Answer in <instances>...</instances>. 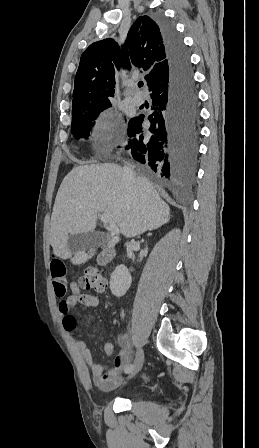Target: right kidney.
Listing matches in <instances>:
<instances>
[{
    "label": "right kidney",
    "mask_w": 259,
    "mask_h": 448,
    "mask_svg": "<svg viewBox=\"0 0 259 448\" xmlns=\"http://www.w3.org/2000/svg\"><path fill=\"white\" fill-rule=\"evenodd\" d=\"M131 282L132 276L126 266L124 264L117 266L110 278V290L113 296H117V298L124 296L127 290H129Z\"/></svg>",
    "instance_id": "obj_1"
}]
</instances>
